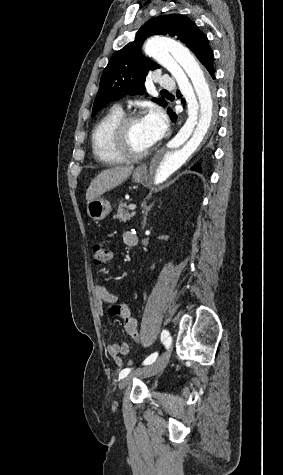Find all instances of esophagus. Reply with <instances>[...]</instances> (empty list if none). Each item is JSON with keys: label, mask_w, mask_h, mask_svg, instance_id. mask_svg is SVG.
I'll return each instance as SVG.
<instances>
[{"label": "esophagus", "mask_w": 283, "mask_h": 475, "mask_svg": "<svg viewBox=\"0 0 283 475\" xmlns=\"http://www.w3.org/2000/svg\"><path fill=\"white\" fill-rule=\"evenodd\" d=\"M159 156H160V155H155V156L153 157V159H152V163H155V161L158 160Z\"/></svg>", "instance_id": "obj_1"}]
</instances>
